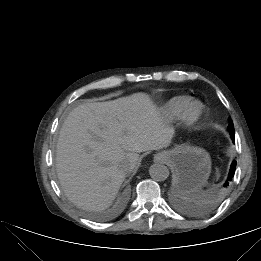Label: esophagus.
<instances>
[{
  "label": "esophagus",
  "mask_w": 261,
  "mask_h": 261,
  "mask_svg": "<svg viewBox=\"0 0 261 261\" xmlns=\"http://www.w3.org/2000/svg\"><path fill=\"white\" fill-rule=\"evenodd\" d=\"M154 159H155V161H160L162 159V155L157 154Z\"/></svg>",
  "instance_id": "obj_1"
}]
</instances>
